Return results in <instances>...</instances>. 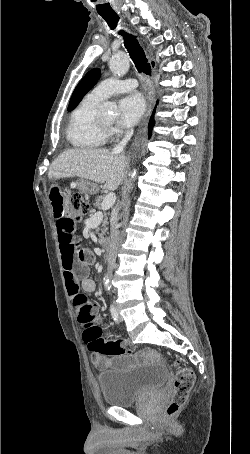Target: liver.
Masks as SVG:
<instances>
[{"instance_id": "liver-1", "label": "liver", "mask_w": 250, "mask_h": 454, "mask_svg": "<svg viewBox=\"0 0 250 454\" xmlns=\"http://www.w3.org/2000/svg\"><path fill=\"white\" fill-rule=\"evenodd\" d=\"M127 158L108 149H69L51 164L49 180L80 177L104 184L107 190H116L121 184Z\"/></svg>"}]
</instances>
